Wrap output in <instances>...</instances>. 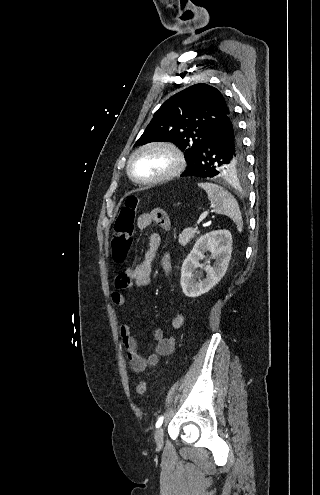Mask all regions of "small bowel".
<instances>
[{"instance_id":"obj_1","label":"small bowel","mask_w":320,"mask_h":495,"mask_svg":"<svg viewBox=\"0 0 320 495\" xmlns=\"http://www.w3.org/2000/svg\"><path fill=\"white\" fill-rule=\"evenodd\" d=\"M140 229H147L153 224H158L164 228L169 227V221L164 211L155 209L148 213H143L137 221ZM161 244V237L158 233H153L149 239V247L145 253L144 259L133 267L127 268L124 272L119 273L114 279L115 290L112 292V302L124 308L125 297L122 290L132 286L139 288L146 287L151 282L152 264L156 253ZM161 266L166 275L172 271V262L167 254L162 258ZM184 324V316L182 313H177L171 320V327L174 330L180 329ZM120 335L122 343L127 352L129 365L134 372L141 373L148 367L156 366L161 357L171 354L175 347V340L172 336H164L160 329H156L153 333L155 341L154 352L148 355L139 353L138 343L132 333V329L128 324H123L120 327Z\"/></svg>"}]
</instances>
